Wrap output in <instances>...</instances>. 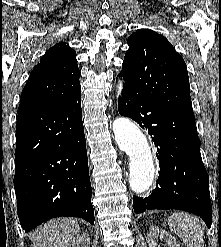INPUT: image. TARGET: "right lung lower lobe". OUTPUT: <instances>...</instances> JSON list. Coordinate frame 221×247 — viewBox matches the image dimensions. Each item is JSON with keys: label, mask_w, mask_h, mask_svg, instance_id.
I'll return each mask as SVG.
<instances>
[{"label": "right lung lower lobe", "mask_w": 221, "mask_h": 247, "mask_svg": "<svg viewBox=\"0 0 221 247\" xmlns=\"http://www.w3.org/2000/svg\"><path fill=\"white\" fill-rule=\"evenodd\" d=\"M14 188L25 232L61 216L94 224L81 91L18 113Z\"/></svg>", "instance_id": "right-lung-lower-lobe-1"}]
</instances>
